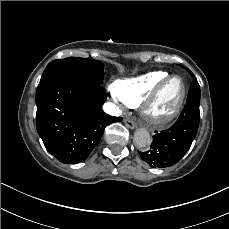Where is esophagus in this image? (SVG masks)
<instances>
[{"mask_svg": "<svg viewBox=\"0 0 229 229\" xmlns=\"http://www.w3.org/2000/svg\"><path fill=\"white\" fill-rule=\"evenodd\" d=\"M124 123L130 129H135L137 127V123L130 118L124 119Z\"/></svg>", "mask_w": 229, "mask_h": 229, "instance_id": "esophagus-1", "label": "esophagus"}]
</instances>
